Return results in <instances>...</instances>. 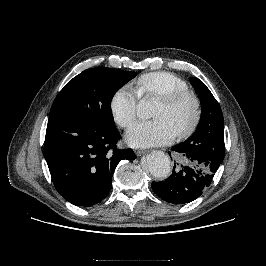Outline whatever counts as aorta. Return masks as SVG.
<instances>
[{
	"mask_svg": "<svg viewBox=\"0 0 266 266\" xmlns=\"http://www.w3.org/2000/svg\"><path fill=\"white\" fill-rule=\"evenodd\" d=\"M137 114L141 118H148L151 112L147 104L144 103L138 107ZM145 165L149 172L157 178L166 177L170 173V159L162 151L155 150L147 155Z\"/></svg>",
	"mask_w": 266,
	"mask_h": 266,
	"instance_id": "obj_1",
	"label": "aorta"
}]
</instances>
